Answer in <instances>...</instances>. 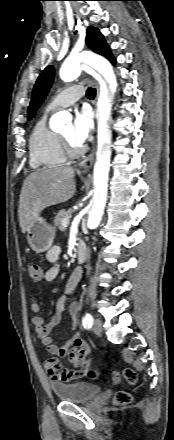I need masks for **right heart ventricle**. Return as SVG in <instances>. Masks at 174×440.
Here are the masks:
<instances>
[{
  "mask_svg": "<svg viewBox=\"0 0 174 440\" xmlns=\"http://www.w3.org/2000/svg\"><path fill=\"white\" fill-rule=\"evenodd\" d=\"M46 117L36 122L29 136V163L34 169L54 168L66 161L60 136L47 126Z\"/></svg>",
  "mask_w": 174,
  "mask_h": 440,
  "instance_id": "right-heart-ventricle-1",
  "label": "right heart ventricle"
}]
</instances>
